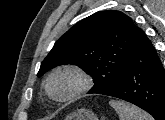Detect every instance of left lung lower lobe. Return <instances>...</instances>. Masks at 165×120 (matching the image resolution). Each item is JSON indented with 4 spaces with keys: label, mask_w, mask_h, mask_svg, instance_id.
I'll use <instances>...</instances> for the list:
<instances>
[{
    "label": "left lung lower lobe",
    "mask_w": 165,
    "mask_h": 120,
    "mask_svg": "<svg viewBox=\"0 0 165 120\" xmlns=\"http://www.w3.org/2000/svg\"><path fill=\"white\" fill-rule=\"evenodd\" d=\"M107 95L137 105L155 120H165V70L146 35L130 53L120 85Z\"/></svg>",
    "instance_id": "left-lung-lower-lobe-1"
}]
</instances>
